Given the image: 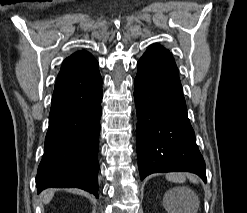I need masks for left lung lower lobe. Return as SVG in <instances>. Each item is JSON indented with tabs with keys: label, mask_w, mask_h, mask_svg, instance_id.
I'll use <instances>...</instances> for the list:
<instances>
[{
	"label": "left lung lower lobe",
	"mask_w": 247,
	"mask_h": 213,
	"mask_svg": "<svg viewBox=\"0 0 247 213\" xmlns=\"http://www.w3.org/2000/svg\"><path fill=\"white\" fill-rule=\"evenodd\" d=\"M137 67L134 98L140 114L136 138L141 180L155 172L188 171L206 182L205 162L172 54L144 55Z\"/></svg>",
	"instance_id": "1"
}]
</instances>
